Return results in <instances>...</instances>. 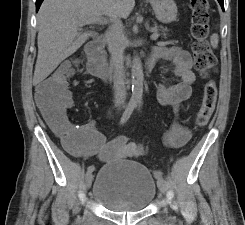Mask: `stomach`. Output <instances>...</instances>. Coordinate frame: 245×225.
I'll return each mask as SVG.
<instances>
[{"label":"stomach","mask_w":245,"mask_h":225,"mask_svg":"<svg viewBox=\"0 0 245 225\" xmlns=\"http://www.w3.org/2000/svg\"><path fill=\"white\" fill-rule=\"evenodd\" d=\"M152 5L156 18L162 23L176 20L177 6L174 0H148Z\"/></svg>","instance_id":"1"}]
</instances>
